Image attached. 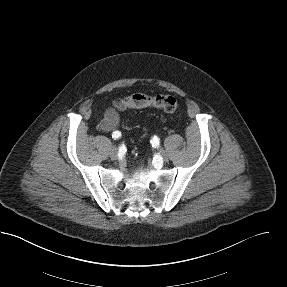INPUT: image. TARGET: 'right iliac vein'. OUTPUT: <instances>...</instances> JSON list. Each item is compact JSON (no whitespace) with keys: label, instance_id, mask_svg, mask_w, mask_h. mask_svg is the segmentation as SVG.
Instances as JSON below:
<instances>
[{"label":"right iliac vein","instance_id":"obj_1","mask_svg":"<svg viewBox=\"0 0 287 287\" xmlns=\"http://www.w3.org/2000/svg\"><path fill=\"white\" fill-rule=\"evenodd\" d=\"M110 158L112 160H116L118 158V149L116 147H112L110 151Z\"/></svg>","mask_w":287,"mask_h":287}]
</instances>
